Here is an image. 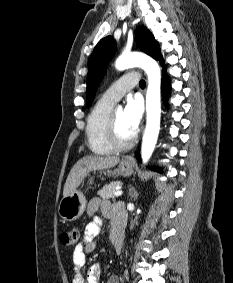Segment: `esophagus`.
<instances>
[{"label":"esophagus","mask_w":233,"mask_h":283,"mask_svg":"<svg viewBox=\"0 0 233 283\" xmlns=\"http://www.w3.org/2000/svg\"><path fill=\"white\" fill-rule=\"evenodd\" d=\"M125 161H126V162H132V161H133V158H132V157H127V158L125 159Z\"/></svg>","instance_id":"esophagus-1"}]
</instances>
